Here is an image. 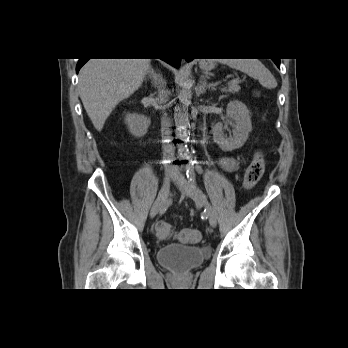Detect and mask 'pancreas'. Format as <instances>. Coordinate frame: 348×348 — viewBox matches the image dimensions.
Here are the masks:
<instances>
[{
    "instance_id": "cf45deb5",
    "label": "pancreas",
    "mask_w": 348,
    "mask_h": 348,
    "mask_svg": "<svg viewBox=\"0 0 348 348\" xmlns=\"http://www.w3.org/2000/svg\"><path fill=\"white\" fill-rule=\"evenodd\" d=\"M239 82H236V83H229L227 87L225 88H222V92H225V93H237L241 88L240 86L238 85Z\"/></svg>"
}]
</instances>
